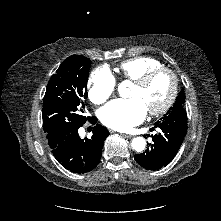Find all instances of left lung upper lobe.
<instances>
[{
	"label": "left lung upper lobe",
	"mask_w": 221,
	"mask_h": 221,
	"mask_svg": "<svg viewBox=\"0 0 221 221\" xmlns=\"http://www.w3.org/2000/svg\"><path fill=\"white\" fill-rule=\"evenodd\" d=\"M185 95L181 91L176 98L174 105L167 111L164 116L158 120L159 122H166L172 126L179 127L183 131H187V113L184 107Z\"/></svg>",
	"instance_id": "1"
}]
</instances>
